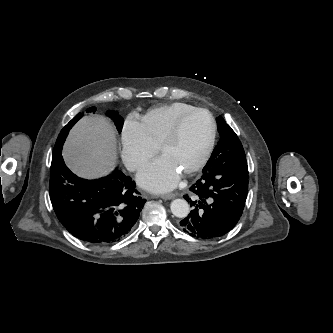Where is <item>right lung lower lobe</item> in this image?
Masks as SVG:
<instances>
[{
    "instance_id": "right-lung-lower-lobe-1",
    "label": "right lung lower lobe",
    "mask_w": 333,
    "mask_h": 333,
    "mask_svg": "<svg viewBox=\"0 0 333 333\" xmlns=\"http://www.w3.org/2000/svg\"><path fill=\"white\" fill-rule=\"evenodd\" d=\"M50 199L62 225L81 241L106 245L129 233L146 202L135 181L116 168L96 180L77 177L65 165L61 151L53 153Z\"/></svg>"
}]
</instances>
